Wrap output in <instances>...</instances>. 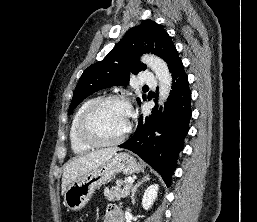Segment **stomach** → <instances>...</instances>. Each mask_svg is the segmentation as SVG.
Listing matches in <instances>:
<instances>
[{
    "label": "stomach",
    "instance_id": "0dacf381",
    "mask_svg": "<svg viewBox=\"0 0 257 222\" xmlns=\"http://www.w3.org/2000/svg\"><path fill=\"white\" fill-rule=\"evenodd\" d=\"M140 169V164L131 155L116 154L102 165L73 181L65 191L64 205L71 211H79L85 207L94 191L117 173L130 175L139 172Z\"/></svg>",
    "mask_w": 257,
    "mask_h": 222
}]
</instances>
